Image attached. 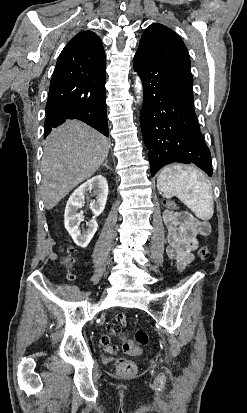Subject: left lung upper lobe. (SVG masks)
Returning a JSON list of instances; mask_svg holds the SVG:
<instances>
[{
    "label": "left lung upper lobe",
    "instance_id": "left-lung-upper-lobe-1",
    "mask_svg": "<svg viewBox=\"0 0 247 413\" xmlns=\"http://www.w3.org/2000/svg\"><path fill=\"white\" fill-rule=\"evenodd\" d=\"M137 52L147 54L153 60L193 81L190 57L184 42L164 25L155 23L146 28Z\"/></svg>",
    "mask_w": 247,
    "mask_h": 413
}]
</instances>
